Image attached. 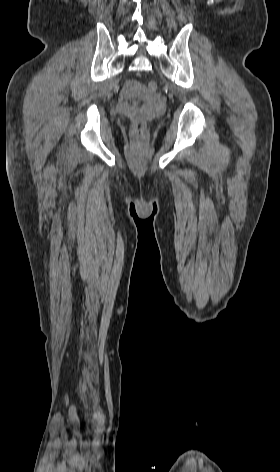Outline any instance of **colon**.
Wrapping results in <instances>:
<instances>
[{
    "mask_svg": "<svg viewBox=\"0 0 280 472\" xmlns=\"http://www.w3.org/2000/svg\"><path fill=\"white\" fill-rule=\"evenodd\" d=\"M149 91L154 92L157 90V83L155 81H150L147 85ZM133 133L137 138H144L146 135V122L140 117L136 116L133 122Z\"/></svg>",
    "mask_w": 280,
    "mask_h": 472,
    "instance_id": "obj_1",
    "label": "colon"
}]
</instances>
